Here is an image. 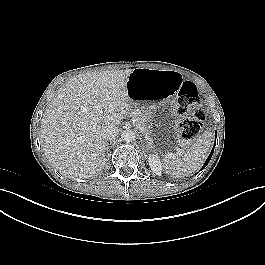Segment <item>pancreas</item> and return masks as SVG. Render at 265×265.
Here are the masks:
<instances>
[{
  "mask_svg": "<svg viewBox=\"0 0 265 265\" xmlns=\"http://www.w3.org/2000/svg\"><path fill=\"white\" fill-rule=\"evenodd\" d=\"M132 118L135 120V125L141 130V132H147V127L145 125L146 114L142 110H133L130 112Z\"/></svg>",
  "mask_w": 265,
  "mask_h": 265,
  "instance_id": "obj_1",
  "label": "pancreas"
}]
</instances>
